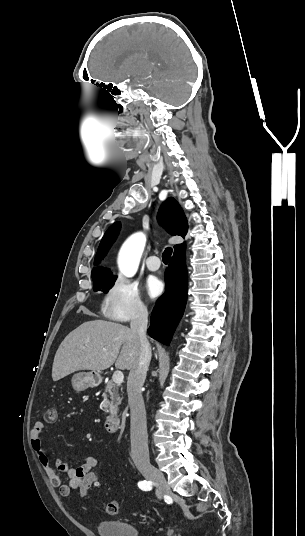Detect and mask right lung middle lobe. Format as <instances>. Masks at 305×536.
Listing matches in <instances>:
<instances>
[{"mask_svg":"<svg viewBox=\"0 0 305 536\" xmlns=\"http://www.w3.org/2000/svg\"><path fill=\"white\" fill-rule=\"evenodd\" d=\"M115 280L116 276L104 279H94L93 289L94 291H103L104 293H107L114 285Z\"/></svg>","mask_w":305,"mask_h":536,"instance_id":"obj_1","label":"right lung middle lobe"}]
</instances>
